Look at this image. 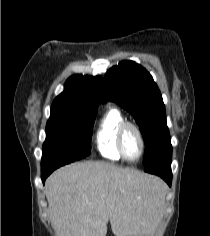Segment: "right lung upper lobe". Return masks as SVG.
<instances>
[{
  "mask_svg": "<svg viewBox=\"0 0 210 236\" xmlns=\"http://www.w3.org/2000/svg\"><path fill=\"white\" fill-rule=\"evenodd\" d=\"M102 78L73 75L65 83L64 92L57 96L51 108L71 110H97L100 101Z\"/></svg>",
  "mask_w": 210,
  "mask_h": 236,
  "instance_id": "1",
  "label": "right lung upper lobe"
}]
</instances>
